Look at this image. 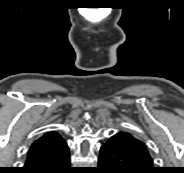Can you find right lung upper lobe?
<instances>
[{"label": "right lung upper lobe", "instance_id": "1", "mask_svg": "<svg viewBox=\"0 0 184 173\" xmlns=\"http://www.w3.org/2000/svg\"><path fill=\"white\" fill-rule=\"evenodd\" d=\"M67 146L65 140L57 132L45 133L30 147L27 159L52 155Z\"/></svg>", "mask_w": 184, "mask_h": 173}]
</instances>
